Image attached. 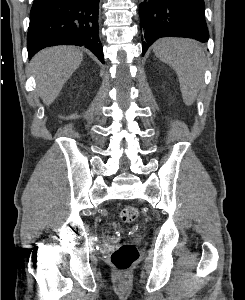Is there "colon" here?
<instances>
[{"mask_svg": "<svg viewBox=\"0 0 245 300\" xmlns=\"http://www.w3.org/2000/svg\"><path fill=\"white\" fill-rule=\"evenodd\" d=\"M139 212L135 206H126L120 212L123 223H133L138 218ZM138 259V250L131 243H122L111 255V264L120 273L129 271Z\"/></svg>", "mask_w": 245, "mask_h": 300, "instance_id": "1", "label": "colon"}]
</instances>
